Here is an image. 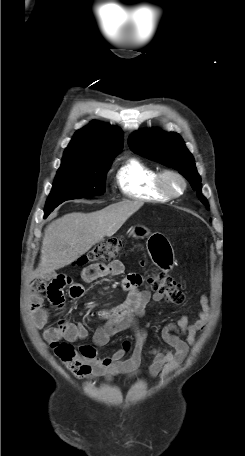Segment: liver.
<instances>
[{"instance_id": "liver-1", "label": "liver", "mask_w": 245, "mask_h": 456, "mask_svg": "<svg viewBox=\"0 0 245 456\" xmlns=\"http://www.w3.org/2000/svg\"><path fill=\"white\" fill-rule=\"evenodd\" d=\"M143 202L125 200L92 213H69L47 225L41 247L40 263L31 280L76 261L105 236L114 235Z\"/></svg>"}]
</instances>
